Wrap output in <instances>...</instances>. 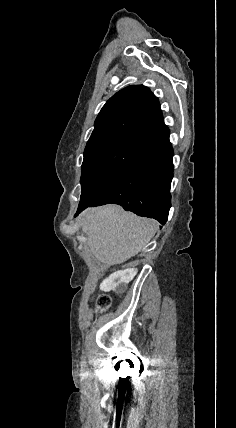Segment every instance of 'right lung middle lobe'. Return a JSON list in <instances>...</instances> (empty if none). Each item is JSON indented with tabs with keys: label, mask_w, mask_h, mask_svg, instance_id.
I'll return each instance as SVG.
<instances>
[{
	"label": "right lung middle lobe",
	"mask_w": 236,
	"mask_h": 428,
	"mask_svg": "<svg viewBox=\"0 0 236 428\" xmlns=\"http://www.w3.org/2000/svg\"><path fill=\"white\" fill-rule=\"evenodd\" d=\"M143 147V142H124L84 158L79 206L90 203L107 190L128 169Z\"/></svg>",
	"instance_id": "1"
}]
</instances>
